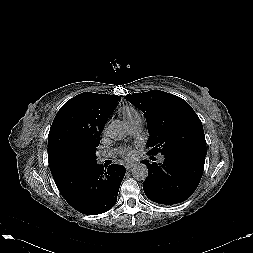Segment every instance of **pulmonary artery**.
Listing matches in <instances>:
<instances>
[{"label": "pulmonary artery", "mask_w": 253, "mask_h": 253, "mask_svg": "<svg viewBox=\"0 0 253 253\" xmlns=\"http://www.w3.org/2000/svg\"><path fill=\"white\" fill-rule=\"evenodd\" d=\"M127 125H128V128H129L130 133H131L133 136L139 135V133H140L141 130H142V120H141V117L138 118V119H136V120L127 122ZM110 156H111V153H103V154L99 155L98 160H99L100 162H102V161H104L105 159H107V158L110 157ZM160 160H161V161L163 160V157H162V156L160 157Z\"/></svg>", "instance_id": "obj_1"}]
</instances>
